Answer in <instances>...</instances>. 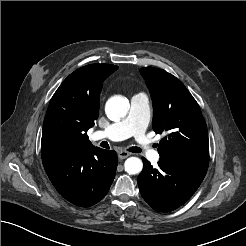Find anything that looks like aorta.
<instances>
[{"label": "aorta", "mask_w": 246, "mask_h": 246, "mask_svg": "<svg viewBox=\"0 0 246 246\" xmlns=\"http://www.w3.org/2000/svg\"><path fill=\"white\" fill-rule=\"evenodd\" d=\"M105 111L110 119L124 118L129 111V101L122 96L112 97L107 101ZM124 167L129 175H135L142 171L143 163L138 157H129L125 161Z\"/></svg>", "instance_id": "762f6f07"}]
</instances>
